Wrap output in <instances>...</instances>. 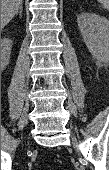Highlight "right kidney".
Wrapping results in <instances>:
<instances>
[{
    "mask_svg": "<svg viewBox=\"0 0 109 170\" xmlns=\"http://www.w3.org/2000/svg\"><path fill=\"white\" fill-rule=\"evenodd\" d=\"M12 41L8 38L1 40V67L5 68L9 64Z\"/></svg>",
    "mask_w": 109,
    "mask_h": 170,
    "instance_id": "1",
    "label": "right kidney"
}]
</instances>
